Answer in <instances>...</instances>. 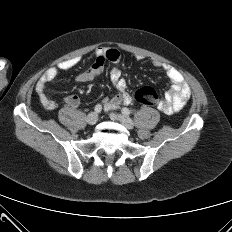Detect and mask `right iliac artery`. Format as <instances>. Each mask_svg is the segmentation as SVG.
<instances>
[{
  "mask_svg": "<svg viewBox=\"0 0 232 232\" xmlns=\"http://www.w3.org/2000/svg\"><path fill=\"white\" fill-rule=\"evenodd\" d=\"M101 110H102V105H100V104H97V105L95 106V108H94L95 113H100Z\"/></svg>",
  "mask_w": 232,
  "mask_h": 232,
  "instance_id": "82829eb1",
  "label": "right iliac artery"
}]
</instances>
